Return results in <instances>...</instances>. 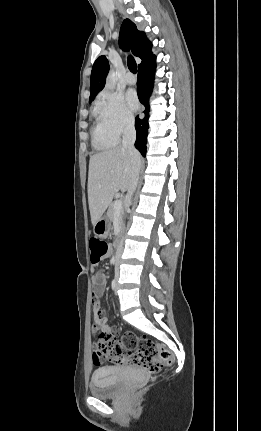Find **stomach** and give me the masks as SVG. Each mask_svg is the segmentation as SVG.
I'll return each instance as SVG.
<instances>
[{
	"instance_id": "1",
	"label": "stomach",
	"mask_w": 261,
	"mask_h": 431,
	"mask_svg": "<svg viewBox=\"0 0 261 431\" xmlns=\"http://www.w3.org/2000/svg\"><path fill=\"white\" fill-rule=\"evenodd\" d=\"M110 221L107 217H101L94 225L93 231L99 238H106L110 232Z\"/></svg>"
}]
</instances>
